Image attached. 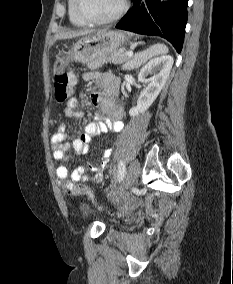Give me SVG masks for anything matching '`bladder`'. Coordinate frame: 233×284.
Wrapping results in <instances>:
<instances>
[{"instance_id":"31cf9c89","label":"bladder","mask_w":233,"mask_h":284,"mask_svg":"<svg viewBox=\"0 0 233 284\" xmlns=\"http://www.w3.org/2000/svg\"><path fill=\"white\" fill-rule=\"evenodd\" d=\"M78 211H79L80 217L83 219L89 218L92 215V209L85 202L79 203Z\"/></svg>"}]
</instances>
